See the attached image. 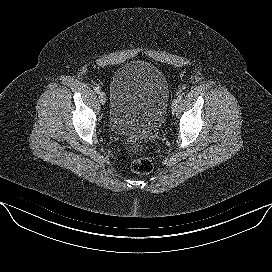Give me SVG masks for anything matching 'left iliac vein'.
Listing matches in <instances>:
<instances>
[{"instance_id":"1","label":"left iliac vein","mask_w":272,"mask_h":272,"mask_svg":"<svg viewBox=\"0 0 272 272\" xmlns=\"http://www.w3.org/2000/svg\"><path fill=\"white\" fill-rule=\"evenodd\" d=\"M178 105H179V101L177 99L173 100L171 105L172 112H175L178 109Z\"/></svg>"}]
</instances>
